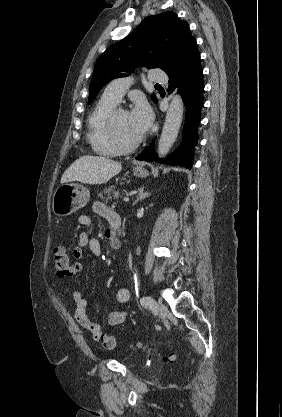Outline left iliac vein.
Listing matches in <instances>:
<instances>
[{
    "label": "left iliac vein",
    "instance_id": "1",
    "mask_svg": "<svg viewBox=\"0 0 282 417\" xmlns=\"http://www.w3.org/2000/svg\"><path fill=\"white\" fill-rule=\"evenodd\" d=\"M157 309H158V314L161 318H164L167 315L168 309L161 301H158Z\"/></svg>",
    "mask_w": 282,
    "mask_h": 417
}]
</instances>
